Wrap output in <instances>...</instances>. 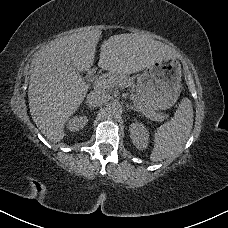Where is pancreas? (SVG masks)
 Instances as JSON below:
<instances>
[{
	"instance_id": "obj_1",
	"label": "pancreas",
	"mask_w": 228,
	"mask_h": 228,
	"mask_svg": "<svg viewBox=\"0 0 228 228\" xmlns=\"http://www.w3.org/2000/svg\"><path fill=\"white\" fill-rule=\"evenodd\" d=\"M104 78L112 81L113 84H115L116 86L121 87V88H125V87L133 88L134 87V83H133L132 79L128 78L127 76H124V75H117L114 73H108L104 76ZM138 104H139V106H141L143 108V110H145L146 112H150L151 115L156 117L157 120H159V121L163 120V117L158 112H156V111L151 112L147 108V106L144 102L138 100Z\"/></svg>"
}]
</instances>
